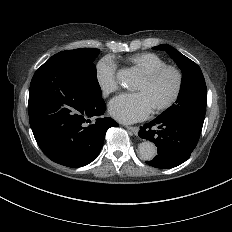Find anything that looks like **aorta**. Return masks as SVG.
Returning a JSON list of instances; mask_svg holds the SVG:
<instances>
[{
	"label": "aorta",
	"mask_w": 232,
	"mask_h": 232,
	"mask_svg": "<svg viewBox=\"0 0 232 232\" xmlns=\"http://www.w3.org/2000/svg\"><path fill=\"white\" fill-rule=\"evenodd\" d=\"M117 77L127 84L133 83L134 76L127 70L118 72ZM139 155L143 160H152L157 155V147L150 141H144L139 144Z\"/></svg>",
	"instance_id": "aorta-1"
}]
</instances>
